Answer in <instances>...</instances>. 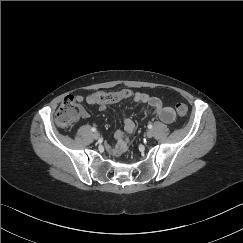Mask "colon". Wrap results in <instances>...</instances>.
<instances>
[{
	"mask_svg": "<svg viewBox=\"0 0 243 243\" xmlns=\"http://www.w3.org/2000/svg\"><path fill=\"white\" fill-rule=\"evenodd\" d=\"M127 91L116 92H98L94 94V98L99 99L102 102H117L128 97ZM176 111L179 116L185 117L188 114V107L184 103H178L176 105ZM80 116V101L73 97L68 96L61 102L56 115V124L62 129L70 128Z\"/></svg>",
	"mask_w": 243,
	"mask_h": 243,
	"instance_id": "1",
	"label": "colon"
}]
</instances>
